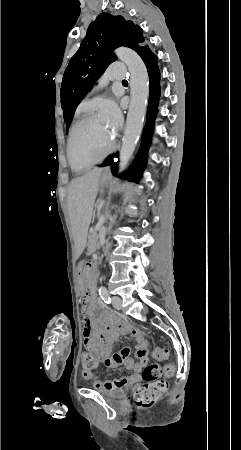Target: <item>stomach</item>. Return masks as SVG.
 Here are the masks:
<instances>
[{
	"mask_svg": "<svg viewBox=\"0 0 241 450\" xmlns=\"http://www.w3.org/2000/svg\"><path fill=\"white\" fill-rule=\"evenodd\" d=\"M107 182H108V176L102 175L100 177V185L104 186L107 184ZM83 269H84V264H83V262H80L78 265L77 284L82 293H84V291H85V276H84Z\"/></svg>",
	"mask_w": 241,
	"mask_h": 450,
	"instance_id": "0dacf381",
	"label": "stomach"
}]
</instances>
